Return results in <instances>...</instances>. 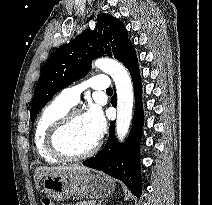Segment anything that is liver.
Returning a JSON list of instances; mask_svg holds the SVG:
<instances>
[{"label":"liver","mask_w":212,"mask_h":205,"mask_svg":"<svg viewBox=\"0 0 212 205\" xmlns=\"http://www.w3.org/2000/svg\"><path fill=\"white\" fill-rule=\"evenodd\" d=\"M90 169L85 166L72 165V166H57V167H39L35 170L34 181L37 188H39V182L43 176L55 175L62 172H89Z\"/></svg>","instance_id":"obj_1"}]
</instances>
